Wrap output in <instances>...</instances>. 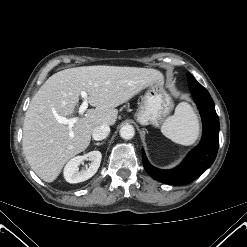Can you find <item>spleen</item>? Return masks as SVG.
Listing matches in <instances>:
<instances>
[{
    "label": "spleen",
    "mask_w": 247,
    "mask_h": 247,
    "mask_svg": "<svg viewBox=\"0 0 247 247\" xmlns=\"http://www.w3.org/2000/svg\"><path fill=\"white\" fill-rule=\"evenodd\" d=\"M161 132L175 143L194 144L199 136V121L192 107L186 102L179 103L174 115L162 124Z\"/></svg>",
    "instance_id": "spleen-1"
}]
</instances>
